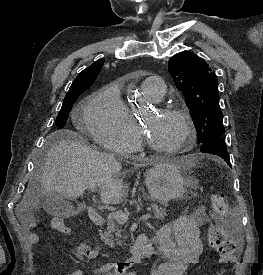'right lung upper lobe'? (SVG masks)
Wrapping results in <instances>:
<instances>
[{
	"mask_svg": "<svg viewBox=\"0 0 263 275\" xmlns=\"http://www.w3.org/2000/svg\"><path fill=\"white\" fill-rule=\"evenodd\" d=\"M103 63L104 59H99L95 63L84 69L82 72H80L70 86L68 93L88 89L97 78L103 66Z\"/></svg>",
	"mask_w": 263,
	"mask_h": 275,
	"instance_id": "cb5924a9",
	"label": "right lung upper lobe"
}]
</instances>
